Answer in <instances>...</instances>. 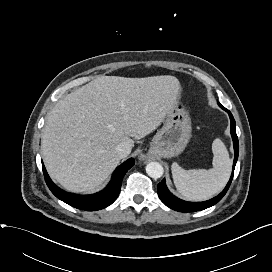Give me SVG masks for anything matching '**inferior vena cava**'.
I'll list each match as a JSON object with an SVG mask.
<instances>
[{
	"mask_svg": "<svg viewBox=\"0 0 272 272\" xmlns=\"http://www.w3.org/2000/svg\"><path fill=\"white\" fill-rule=\"evenodd\" d=\"M115 149L121 158L127 157L131 153V145L127 142H121Z\"/></svg>",
	"mask_w": 272,
	"mask_h": 272,
	"instance_id": "obj_1",
	"label": "inferior vena cava"
}]
</instances>
